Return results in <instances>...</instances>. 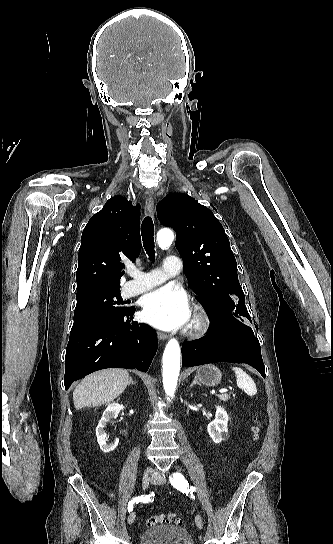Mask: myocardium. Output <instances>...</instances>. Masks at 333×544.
Listing matches in <instances>:
<instances>
[{
    "label": "myocardium",
    "mask_w": 333,
    "mask_h": 544,
    "mask_svg": "<svg viewBox=\"0 0 333 544\" xmlns=\"http://www.w3.org/2000/svg\"><path fill=\"white\" fill-rule=\"evenodd\" d=\"M211 327V319L206 309L201 305H195L192 319L188 326V334L198 337L206 334Z\"/></svg>",
    "instance_id": "myocardium-1"
}]
</instances>
